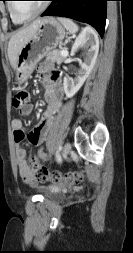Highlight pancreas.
<instances>
[{"label": "pancreas", "mask_w": 133, "mask_h": 253, "mask_svg": "<svg viewBox=\"0 0 133 253\" xmlns=\"http://www.w3.org/2000/svg\"><path fill=\"white\" fill-rule=\"evenodd\" d=\"M65 59V56L61 55L60 51L53 50L46 54V60L61 63Z\"/></svg>", "instance_id": "obj_1"}]
</instances>
